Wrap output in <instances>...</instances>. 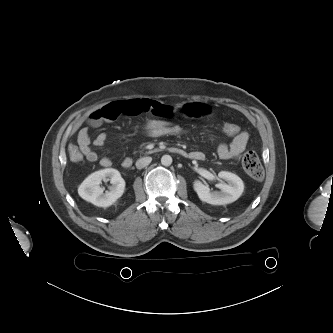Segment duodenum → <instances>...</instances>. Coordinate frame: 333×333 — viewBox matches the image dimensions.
Returning a JSON list of instances; mask_svg holds the SVG:
<instances>
[{
  "label": "duodenum",
  "mask_w": 333,
  "mask_h": 333,
  "mask_svg": "<svg viewBox=\"0 0 333 333\" xmlns=\"http://www.w3.org/2000/svg\"><path fill=\"white\" fill-rule=\"evenodd\" d=\"M170 150H171L172 152H174V153L183 154V151H182V150H180V149H178V148H175V147L171 148ZM122 166H123V168H125V169L130 168V167L132 166V160H131V158H129V157L125 158V159L122 161Z\"/></svg>",
  "instance_id": "410a0bca"
}]
</instances>
